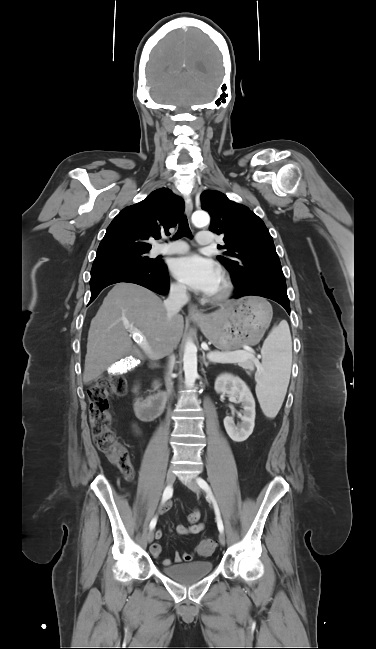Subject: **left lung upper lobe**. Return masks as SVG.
Wrapping results in <instances>:
<instances>
[{"instance_id": "obj_1", "label": "left lung upper lobe", "mask_w": 376, "mask_h": 649, "mask_svg": "<svg viewBox=\"0 0 376 649\" xmlns=\"http://www.w3.org/2000/svg\"><path fill=\"white\" fill-rule=\"evenodd\" d=\"M201 204L211 216L209 230L224 235L225 245L218 248L225 251L217 258L233 273L238 287L261 278L287 288L272 236L257 215L218 191H204Z\"/></svg>"}]
</instances>
